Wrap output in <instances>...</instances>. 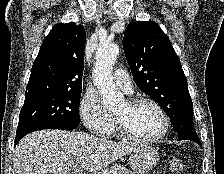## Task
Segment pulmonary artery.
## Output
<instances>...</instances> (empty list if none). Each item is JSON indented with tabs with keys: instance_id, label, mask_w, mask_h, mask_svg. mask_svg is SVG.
Segmentation results:
<instances>
[{
	"instance_id": "obj_1",
	"label": "pulmonary artery",
	"mask_w": 224,
	"mask_h": 174,
	"mask_svg": "<svg viewBox=\"0 0 224 174\" xmlns=\"http://www.w3.org/2000/svg\"><path fill=\"white\" fill-rule=\"evenodd\" d=\"M114 80L117 86L124 90L127 94H131L133 86L129 75L123 70L118 69L114 73Z\"/></svg>"
}]
</instances>
